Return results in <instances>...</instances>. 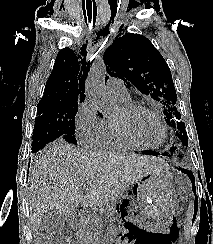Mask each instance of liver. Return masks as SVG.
Segmentation results:
<instances>
[{"label":"liver","instance_id":"6515ba94","mask_svg":"<svg viewBox=\"0 0 213 244\" xmlns=\"http://www.w3.org/2000/svg\"><path fill=\"white\" fill-rule=\"evenodd\" d=\"M166 168L160 158L92 152L58 141L35 159L29 173V213L33 230L49 211L69 215L81 203L100 206L123 194L140 179ZM87 189L86 195L83 190Z\"/></svg>","mask_w":213,"mask_h":244}]
</instances>
